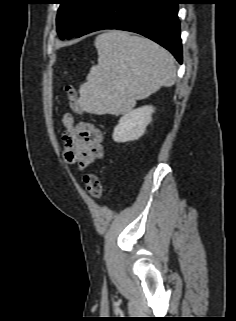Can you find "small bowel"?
I'll return each instance as SVG.
<instances>
[{"label":"small bowel","instance_id":"small-bowel-1","mask_svg":"<svg viewBox=\"0 0 236 321\" xmlns=\"http://www.w3.org/2000/svg\"><path fill=\"white\" fill-rule=\"evenodd\" d=\"M64 160L69 164L86 166L104 156L103 135L93 124L76 122L74 116H62Z\"/></svg>","mask_w":236,"mask_h":321}]
</instances>
